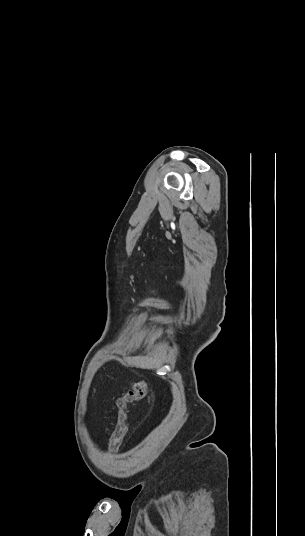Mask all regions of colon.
I'll use <instances>...</instances> for the list:
<instances>
[{"label":"colon","mask_w":305,"mask_h":536,"mask_svg":"<svg viewBox=\"0 0 305 536\" xmlns=\"http://www.w3.org/2000/svg\"><path fill=\"white\" fill-rule=\"evenodd\" d=\"M147 394V386L144 380H136L131 382V387L121 396L115 399V407L117 409V420L114 433L110 440L112 448L121 444L127 428V406L132 403L142 401Z\"/></svg>","instance_id":"obj_1"}]
</instances>
